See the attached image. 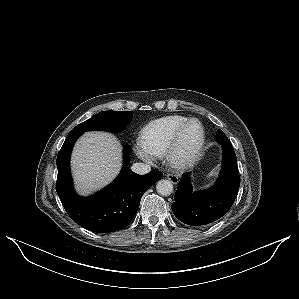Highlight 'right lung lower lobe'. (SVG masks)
<instances>
[{"label":"right lung lower lobe","instance_id":"98d812e1","mask_svg":"<svg viewBox=\"0 0 299 299\" xmlns=\"http://www.w3.org/2000/svg\"><path fill=\"white\" fill-rule=\"evenodd\" d=\"M82 134L70 131L57 156L58 178L56 191L70 218L78 225L96 233L115 232L125 228L135 216L140 200L148 188L163 173L152 171L138 175L126 165L131 149L124 148V167L120 175L102 191L84 198L73 189L70 174V155L77 138Z\"/></svg>","mask_w":299,"mask_h":299}]
</instances>
